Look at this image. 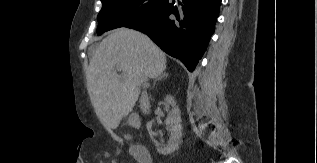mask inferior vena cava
I'll return each instance as SVG.
<instances>
[{"mask_svg": "<svg viewBox=\"0 0 317 163\" xmlns=\"http://www.w3.org/2000/svg\"><path fill=\"white\" fill-rule=\"evenodd\" d=\"M146 81H147V79H144L145 85L147 86ZM140 106H141V109L143 110V112H145V113L150 108L149 98H148V94L146 91L142 93V96L140 99Z\"/></svg>", "mask_w": 317, "mask_h": 163, "instance_id": "602c4592", "label": "inferior vena cava"}]
</instances>
